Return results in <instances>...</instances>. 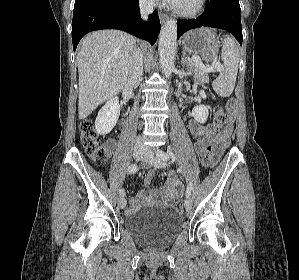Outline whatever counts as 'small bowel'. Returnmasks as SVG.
Returning <instances> with one entry per match:
<instances>
[{
  "label": "small bowel",
  "instance_id": "small-bowel-1",
  "mask_svg": "<svg viewBox=\"0 0 299 280\" xmlns=\"http://www.w3.org/2000/svg\"><path fill=\"white\" fill-rule=\"evenodd\" d=\"M189 129L196 138L194 143L196 153L201 157L204 153L209 152L211 156L210 165H213L228 147L233 126L229 123L222 130L218 131L213 124L201 125L192 120L189 123ZM115 146L116 142L114 139L106 141L104 146L106 157H110L113 154ZM153 178V172H149L144 178V185H150ZM182 191V184L176 178L175 173L172 172L164 185L161 200H158L160 195L158 190L147 192L145 189H141L138 191L137 196L131 199L127 213L134 214L144 206H171L181 196Z\"/></svg>",
  "mask_w": 299,
  "mask_h": 280
}]
</instances>
